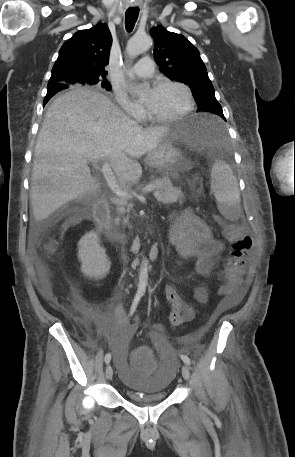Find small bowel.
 <instances>
[{"label": "small bowel", "instance_id": "obj_1", "mask_svg": "<svg viewBox=\"0 0 295 457\" xmlns=\"http://www.w3.org/2000/svg\"><path fill=\"white\" fill-rule=\"evenodd\" d=\"M168 238L170 243L185 258L195 261L196 270L202 275L208 274L215 266L218 256L223 251V243L217 240L209 226L186 209L171 217ZM244 293V288L239 284L233 292L227 294L228 303H237ZM164 295L171 305L169 320L172 326H180L191 322L195 318V303H205L208 293L204 287H196L193 293V302H185L176 290L169 285L164 287ZM47 298L49 296L47 294ZM87 314L102 330L116 333L118 338L130 339L136 331V324H128L125 311L121 303L116 304L112 311H103L94 306L86 307ZM161 326H151V337L157 342H162L160 335Z\"/></svg>", "mask_w": 295, "mask_h": 457}]
</instances>
